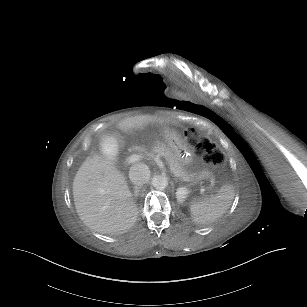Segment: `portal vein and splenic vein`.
Listing matches in <instances>:
<instances>
[{
	"instance_id": "18ae733b",
	"label": "portal vein and splenic vein",
	"mask_w": 307,
	"mask_h": 307,
	"mask_svg": "<svg viewBox=\"0 0 307 307\" xmlns=\"http://www.w3.org/2000/svg\"><path fill=\"white\" fill-rule=\"evenodd\" d=\"M139 157H140L139 154L135 152V153L131 154L130 157L127 158L126 161H127L128 164L132 165V164H135V163L138 162ZM202 186H203L202 182H199L197 184L198 191L200 192L201 195H204L205 191L203 190Z\"/></svg>"
}]
</instances>
